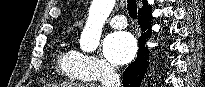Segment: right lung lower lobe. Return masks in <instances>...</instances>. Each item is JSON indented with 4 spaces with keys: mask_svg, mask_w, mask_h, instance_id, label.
Masks as SVG:
<instances>
[{
    "mask_svg": "<svg viewBox=\"0 0 205 87\" xmlns=\"http://www.w3.org/2000/svg\"><path fill=\"white\" fill-rule=\"evenodd\" d=\"M151 8L147 4L138 12V22L141 25L142 35L139 38V52L136 60L131 63L123 73L124 87H139L147 69L148 50L146 42L151 36Z\"/></svg>",
    "mask_w": 205,
    "mask_h": 87,
    "instance_id": "1",
    "label": "right lung lower lobe"
}]
</instances>
